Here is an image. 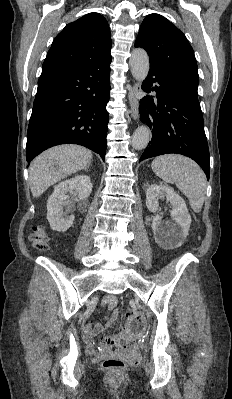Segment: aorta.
<instances>
[{
    "mask_svg": "<svg viewBox=\"0 0 232 399\" xmlns=\"http://www.w3.org/2000/svg\"><path fill=\"white\" fill-rule=\"evenodd\" d=\"M129 65L133 77L142 82L149 72V57L145 50L141 48L134 49L129 59ZM151 131L147 126H139L132 136V147L135 150L144 149L150 140Z\"/></svg>",
    "mask_w": 232,
    "mask_h": 399,
    "instance_id": "aorta-1",
    "label": "aorta"
}]
</instances>
